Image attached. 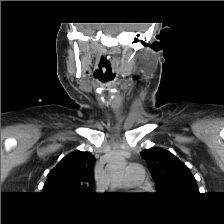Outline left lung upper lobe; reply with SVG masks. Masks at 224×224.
Listing matches in <instances>:
<instances>
[{"instance_id":"left-lung-upper-lobe-1","label":"left lung upper lobe","mask_w":224,"mask_h":224,"mask_svg":"<svg viewBox=\"0 0 224 224\" xmlns=\"http://www.w3.org/2000/svg\"><path fill=\"white\" fill-rule=\"evenodd\" d=\"M141 155L150 167L157 194L181 197L199 193L188 167L168 150L150 148L143 150Z\"/></svg>"}]
</instances>
